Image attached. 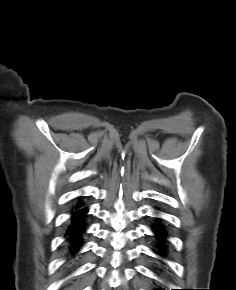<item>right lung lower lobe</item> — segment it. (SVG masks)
<instances>
[{
  "label": "right lung lower lobe",
  "instance_id": "1",
  "mask_svg": "<svg viewBox=\"0 0 236 290\" xmlns=\"http://www.w3.org/2000/svg\"><path fill=\"white\" fill-rule=\"evenodd\" d=\"M87 212L88 208L83 204L75 206L71 212V217L68 222L65 242L68 250V257H74L83 245V238L87 229Z\"/></svg>",
  "mask_w": 236,
  "mask_h": 290
}]
</instances>
